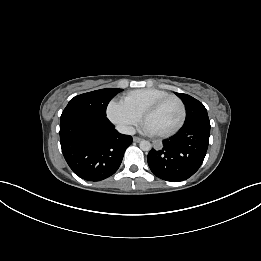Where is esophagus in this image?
Returning a JSON list of instances; mask_svg holds the SVG:
<instances>
[{"instance_id":"34e87169","label":"esophagus","mask_w":261,"mask_h":261,"mask_svg":"<svg viewBox=\"0 0 261 261\" xmlns=\"http://www.w3.org/2000/svg\"><path fill=\"white\" fill-rule=\"evenodd\" d=\"M141 140H142V139H141L140 137H137V136H134V137H133V141H134V142H137V143H138V142H140Z\"/></svg>"}]
</instances>
